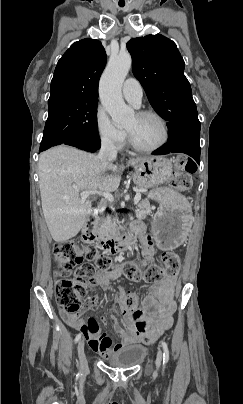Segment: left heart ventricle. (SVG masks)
<instances>
[{
    "label": "left heart ventricle",
    "mask_w": 243,
    "mask_h": 404,
    "mask_svg": "<svg viewBox=\"0 0 243 404\" xmlns=\"http://www.w3.org/2000/svg\"><path fill=\"white\" fill-rule=\"evenodd\" d=\"M125 129L138 144L146 147L160 143L164 137L162 123L152 115H133L126 122Z\"/></svg>",
    "instance_id": "obj_1"
}]
</instances>
